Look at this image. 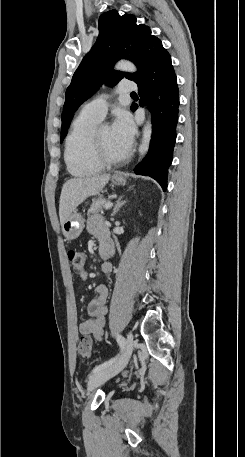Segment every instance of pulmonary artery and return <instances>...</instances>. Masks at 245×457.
<instances>
[{"label":"pulmonary artery","instance_id":"e3ab8cb5","mask_svg":"<svg viewBox=\"0 0 245 457\" xmlns=\"http://www.w3.org/2000/svg\"><path fill=\"white\" fill-rule=\"evenodd\" d=\"M117 93L119 95H132L133 90L140 88V83L137 80H118ZM100 100L91 101L84 104L80 110V115L88 116L97 120H101L107 111L108 95H100Z\"/></svg>","mask_w":245,"mask_h":457}]
</instances>
